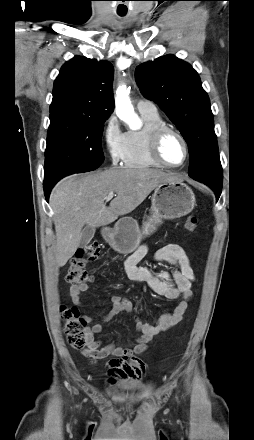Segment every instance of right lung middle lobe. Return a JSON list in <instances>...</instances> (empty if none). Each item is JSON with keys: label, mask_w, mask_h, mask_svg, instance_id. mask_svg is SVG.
Here are the masks:
<instances>
[{"label": "right lung middle lobe", "mask_w": 254, "mask_h": 440, "mask_svg": "<svg viewBox=\"0 0 254 440\" xmlns=\"http://www.w3.org/2000/svg\"><path fill=\"white\" fill-rule=\"evenodd\" d=\"M107 118L73 112L50 114L45 151L44 185L62 177L97 169L104 161L101 137Z\"/></svg>", "instance_id": "obj_1"}]
</instances>
